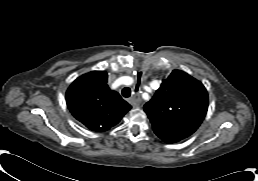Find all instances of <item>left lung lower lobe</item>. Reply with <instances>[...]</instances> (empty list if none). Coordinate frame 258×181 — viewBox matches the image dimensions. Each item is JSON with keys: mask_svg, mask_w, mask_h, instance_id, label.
Masks as SVG:
<instances>
[{"mask_svg": "<svg viewBox=\"0 0 258 181\" xmlns=\"http://www.w3.org/2000/svg\"><path fill=\"white\" fill-rule=\"evenodd\" d=\"M159 138H161L163 141H165L166 143H175L180 141V139L168 136V135H163V134H156Z\"/></svg>", "mask_w": 258, "mask_h": 181, "instance_id": "0a47b994", "label": "left lung lower lobe"}]
</instances>
